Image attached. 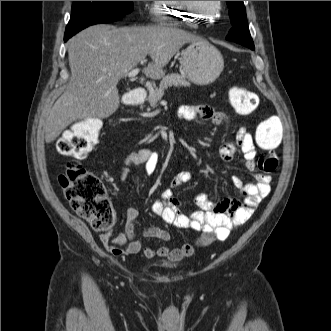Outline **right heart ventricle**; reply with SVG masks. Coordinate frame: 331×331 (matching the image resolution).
I'll use <instances>...</instances> for the list:
<instances>
[{
	"instance_id": "obj_1",
	"label": "right heart ventricle",
	"mask_w": 331,
	"mask_h": 331,
	"mask_svg": "<svg viewBox=\"0 0 331 331\" xmlns=\"http://www.w3.org/2000/svg\"><path fill=\"white\" fill-rule=\"evenodd\" d=\"M151 12L153 19L159 23L195 26L200 17L183 8L181 1H153Z\"/></svg>"
}]
</instances>
